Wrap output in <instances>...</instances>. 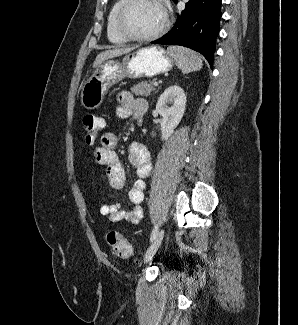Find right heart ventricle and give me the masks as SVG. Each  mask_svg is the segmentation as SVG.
Masks as SVG:
<instances>
[{
  "label": "right heart ventricle",
  "instance_id": "e07e8e85",
  "mask_svg": "<svg viewBox=\"0 0 298 325\" xmlns=\"http://www.w3.org/2000/svg\"><path fill=\"white\" fill-rule=\"evenodd\" d=\"M123 3L124 1L115 2L111 7L107 16V22H106L107 39L114 46H123L128 42L126 39H124L118 34L115 28V19Z\"/></svg>",
  "mask_w": 298,
  "mask_h": 325
}]
</instances>
